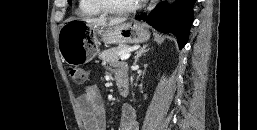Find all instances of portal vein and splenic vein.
<instances>
[{"mask_svg":"<svg viewBox=\"0 0 257 130\" xmlns=\"http://www.w3.org/2000/svg\"><path fill=\"white\" fill-rule=\"evenodd\" d=\"M131 53L128 51H123L120 53L121 60H127L130 57Z\"/></svg>","mask_w":257,"mask_h":130,"instance_id":"1","label":"portal vein and splenic vein"}]
</instances>
